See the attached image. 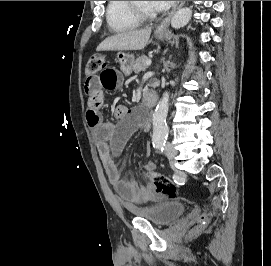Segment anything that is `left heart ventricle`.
Listing matches in <instances>:
<instances>
[{"label": "left heart ventricle", "instance_id": "1", "mask_svg": "<svg viewBox=\"0 0 271 266\" xmlns=\"http://www.w3.org/2000/svg\"><path fill=\"white\" fill-rule=\"evenodd\" d=\"M137 7L147 13H155L153 8L151 7V1H137Z\"/></svg>", "mask_w": 271, "mask_h": 266}]
</instances>
